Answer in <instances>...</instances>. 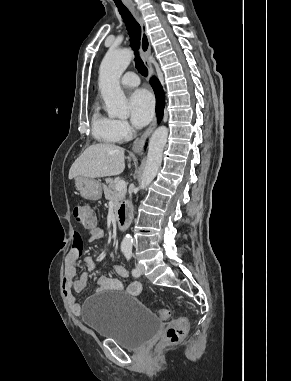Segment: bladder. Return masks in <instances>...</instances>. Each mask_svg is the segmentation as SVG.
I'll return each mask as SVG.
<instances>
[{"instance_id":"31cf9c89","label":"bladder","mask_w":291,"mask_h":381,"mask_svg":"<svg viewBox=\"0 0 291 381\" xmlns=\"http://www.w3.org/2000/svg\"><path fill=\"white\" fill-rule=\"evenodd\" d=\"M82 320L101 338L115 340L125 349L143 348L161 326L156 315L129 294H97L86 302Z\"/></svg>"}]
</instances>
